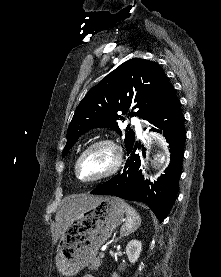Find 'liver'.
I'll list each match as a JSON object with an SVG mask.
<instances>
[{"label":"liver","mask_w":221,"mask_h":277,"mask_svg":"<svg viewBox=\"0 0 221 277\" xmlns=\"http://www.w3.org/2000/svg\"><path fill=\"white\" fill-rule=\"evenodd\" d=\"M99 196L84 195L79 198L69 200L56 213L55 216V230L52 235L53 244H55L61 235L66 231L71 220L85 207L93 204L99 200Z\"/></svg>","instance_id":"1"}]
</instances>
